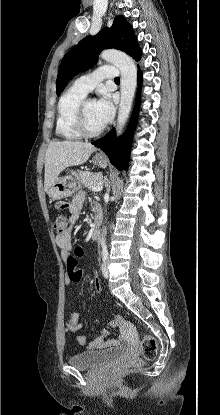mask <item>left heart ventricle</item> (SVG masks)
Returning <instances> with one entry per match:
<instances>
[{
    "instance_id": "1",
    "label": "left heart ventricle",
    "mask_w": 220,
    "mask_h": 415,
    "mask_svg": "<svg viewBox=\"0 0 220 415\" xmlns=\"http://www.w3.org/2000/svg\"><path fill=\"white\" fill-rule=\"evenodd\" d=\"M85 122L88 130L96 131L100 129L103 125L98 120L95 113V102L90 101L85 108Z\"/></svg>"
}]
</instances>
